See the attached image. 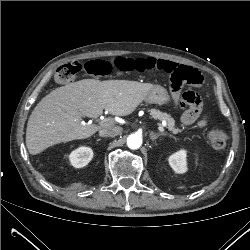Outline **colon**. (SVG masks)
Wrapping results in <instances>:
<instances>
[{"mask_svg": "<svg viewBox=\"0 0 250 250\" xmlns=\"http://www.w3.org/2000/svg\"><path fill=\"white\" fill-rule=\"evenodd\" d=\"M113 67L122 71H134L137 68V60L119 57L113 60H92L84 65L85 71L93 76L108 75ZM83 66L78 62H71L60 66L55 72V81L59 84H68L82 70ZM171 86L180 88L187 85L182 94L185 103L198 106L201 103L200 88L202 76L198 70L189 66H179L171 73ZM207 141L214 150H222L228 143L227 132L220 127H213L207 131Z\"/></svg>", "mask_w": 250, "mask_h": 250, "instance_id": "5ec220e1", "label": "colon"}]
</instances>
